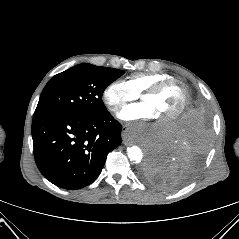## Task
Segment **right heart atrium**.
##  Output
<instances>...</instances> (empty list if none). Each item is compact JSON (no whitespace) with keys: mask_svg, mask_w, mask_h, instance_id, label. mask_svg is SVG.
<instances>
[{"mask_svg":"<svg viewBox=\"0 0 239 239\" xmlns=\"http://www.w3.org/2000/svg\"><path fill=\"white\" fill-rule=\"evenodd\" d=\"M102 98L109 111L117 114L127 102L137 99L138 94L133 92L125 81L115 80L104 88Z\"/></svg>","mask_w":239,"mask_h":239,"instance_id":"obj_1","label":"right heart atrium"}]
</instances>
